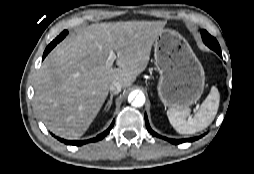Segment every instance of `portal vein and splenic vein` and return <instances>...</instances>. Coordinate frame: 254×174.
I'll use <instances>...</instances> for the list:
<instances>
[{
	"label": "portal vein and splenic vein",
	"mask_w": 254,
	"mask_h": 174,
	"mask_svg": "<svg viewBox=\"0 0 254 174\" xmlns=\"http://www.w3.org/2000/svg\"><path fill=\"white\" fill-rule=\"evenodd\" d=\"M116 58H117V56H116L115 52L110 51L109 56H108L107 61H106V65L111 67L113 65L114 61L116 60Z\"/></svg>",
	"instance_id": "18ae733b"
}]
</instances>
